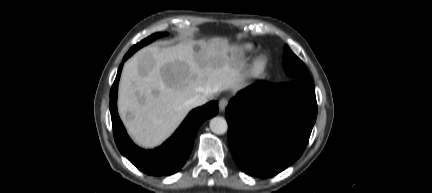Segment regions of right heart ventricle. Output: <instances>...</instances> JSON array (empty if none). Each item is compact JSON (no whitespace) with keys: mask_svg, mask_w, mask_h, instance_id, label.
Here are the masks:
<instances>
[{"mask_svg":"<svg viewBox=\"0 0 432 193\" xmlns=\"http://www.w3.org/2000/svg\"><path fill=\"white\" fill-rule=\"evenodd\" d=\"M254 51V46L251 44H244L240 47V49L237 50L236 55L238 57H244L246 55H249Z\"/></svg>","mask_w":432,"mask_h":193,"instance_id":"obj_1","label":"right heart ventricle"}]
</instances>
